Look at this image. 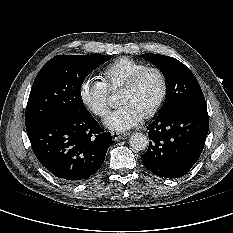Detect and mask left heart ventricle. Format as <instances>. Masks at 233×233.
Segmentation results:
<instances>
[{"mask_svg": "<svg viewBox=\"0 0 233 233\" xmlns=\"http://www.w3.org/2000/svg\"><path fill=\"white\" fill-rule=\"evenodd\" d=\"M162 90L159 76L155 73L146 74L131 91H121L120 105L130 104L144 115L158 100Z\"/></svg>", "mask_w": 233, "mask_h": 233, "instance_id": "obj_1", "label": "left heart ventricle"}]
</instances>
